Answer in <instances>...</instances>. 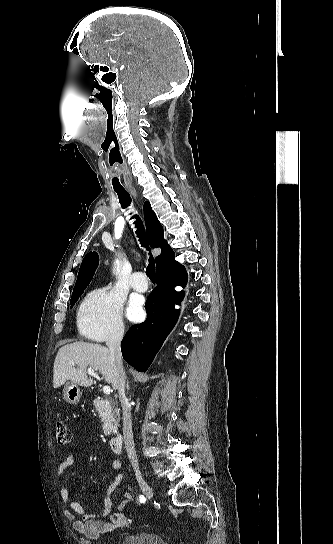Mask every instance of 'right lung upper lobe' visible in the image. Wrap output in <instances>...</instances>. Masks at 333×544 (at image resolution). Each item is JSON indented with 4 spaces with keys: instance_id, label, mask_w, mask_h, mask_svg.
<instances>
[{
    "instance_id": "cb5924a9",
    "label": "right lung upper lobe",
    "mask_w": 333,
    "mask_h": 544,
    "mask_svg": "<svg viewBox=\"0 0 333 544\" xmlns=\"http://www.w3.org/2000/svg\"><path fill=\"white\" fill-rule=\"evenodd\" d=\"M143 209L146 230L150 245L152 248L161 247V254L156 258V273H158L164 269L178 264V262L175 260V254L173 250L164 239L163 227L158 221L154 211L151 209L150 203L148 201L144 203ZM98 263L99 259L96 252H89L84 257L79 269L73 293L84 291V289L92 280Z\"/></svg>"
}]
</instances>
